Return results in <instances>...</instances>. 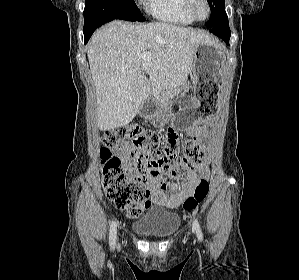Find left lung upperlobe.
<instances>
[{"mask_svg": "<svg viewBox=\"0 0 299 280\" xmlns=\"http://www.w3.org/2000/svg\"><path fill=\"white\" fill-rule=\"evenodd\" d=\"M211 9V18L206 22V26L212 28L219 24L223 17L226 15L225 12V0H207Z\"/></svg>", "mask_w": 299, "mask_h": 280, "instance_id": "1", "label": "left lung upper lobe"}]
</instances>
